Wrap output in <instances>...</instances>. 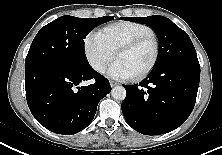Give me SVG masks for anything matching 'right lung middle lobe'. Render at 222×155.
Wrapping results in <instances>:
<instances>
[{"mask_svg":"<svg viewBox=\"0 0 222 155\" xmlns=\"http://www.w3.org/2000/svg\"><path fill=\"white\" fill-rule=\"evenodd\" d=\"M113 17L77 18L65 15L42 27L26 57L25 77L50 68L77 69L89 65L84 39L96 26Z\"/></svg>","mask_w":222,"mask_h":155,"instance_id":"1","label":"right lung middle lobe"}]
</instances>
